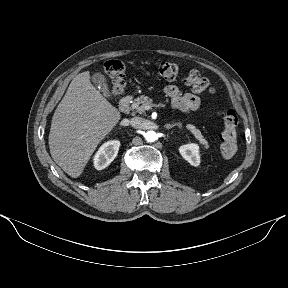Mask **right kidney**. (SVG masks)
I'll return each instance as SVG.
<instances>
[{
	"label": "right kidney",
	"mask_w": 288,
	"mask_h": 288,
	"mask_svg": "<svg viewBox=\"0 0 288 288\" xmlns=\"http://www.w3.org/2000/svg\"><path fill=\"white\" fill-rule=\"evenodd\" d=\"M120 142L112 140L104 143L94 156V167L97 170L106 168L117 156Z\"/></svg>",
	"instance_id": "obj_1"
}]
</instances>
